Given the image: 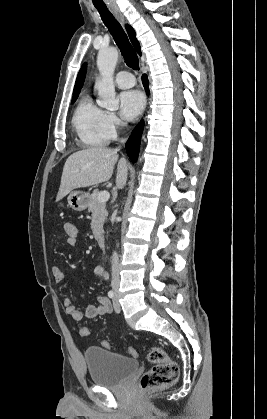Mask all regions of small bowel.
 <instances>
[{
  "mask_svg": "<svg viewBox=\"0 0 267 419\" xmlns=\"http://www.w3.org/2000/svg\"><path fill=\"white\" fill-rule=\"evenodd\" d=\"M71 247V246H69ZM73 248V247H71ZM93 273L95 276L102 279H108V274L105 268L98 265L94 268ZM52 275L57 283H62L66 279V274L58 266L52 267ZM63 307L66 313L74 320H81L84 316L87 318H95L98 316H104L111 313L112 308L109 299L106 297H98L97 305H88L85 310L79 309L72 301L71 298L67 297L63 300Z\"/></svg>",
  "mask_w": 267,
  "mask_h": 419,
  "instance_id": "small-bowel-1",
  "label": "small bowel"
}]
</instances>
